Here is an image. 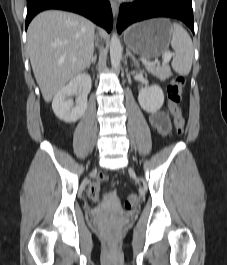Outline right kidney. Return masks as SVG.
Returning a JSON list of instances; mask_svg holds the SVG:
<instances>
[{"mask_svg": "<svg viewBox=\"0 0 227 265\" xmlns=\"http://www.w3.org/2000/svg\"><path fill=\"white\" fill-rule=\"evenodd\" d=\"M79 88L82 89V93L76 100V106L73 107V100L66 98L68 96L74 95ZM90 90V75L87 73L76 75L54 96L52 109L56 117L66 123H73L80 119L87 109V96Z\"/></svg>", "mask_w": 227, "mask_h": 265, "instance_id": "1", "label": "right kidney"}]
</instances>
